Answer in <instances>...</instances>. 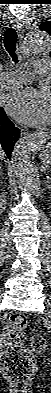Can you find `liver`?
Masks as SVG:
<instances>
[{"mask_svg": "<svg viewBox=\"0 0 51 393\" xmlns=\"http://www.w3.org/2000/svg\"><path fill=\"white\" fill-rule=\"evenodd\" d=\"M3 158H4V153H3V151L1 150V152H0V160L2 161Z\"/></svg>", "mask_w": 51, "mask_h": 393, "instance_id": "obj_1", "label": "liver"}]
</instances>
